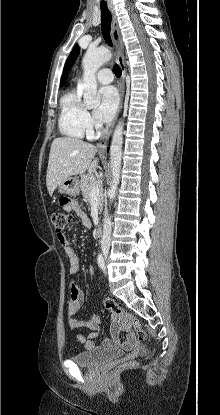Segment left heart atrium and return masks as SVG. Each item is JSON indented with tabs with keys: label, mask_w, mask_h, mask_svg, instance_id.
Masks as SVG:
<instances>
[{
	"label": "left heart atrium",
	"mask_w": 220,
	"mask_h": 415,
	"mask_svg": "<svg viewBox=\"0 0 220 415\" xmlns=\"http://www.w3.org/2000/svg\"><path fill=\"white\" fill-rule=\"evenodd\" d=\"M100 103L95 111V117L103 123L110 122L116 114L119 97L116 89L112 86H105L99 91Z\"/></svg>",
	"instance_id": "obj_1"
}]
</instances>
